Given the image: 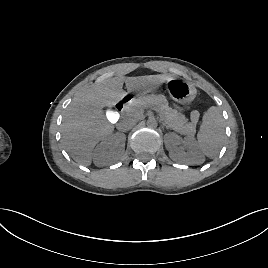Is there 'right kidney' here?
<instances>
[{
	"label": "right kidney",
	"instance_id": "ca27d5eb",
	"mask_svg": "<svg viewBox=\"0 0 268 268\" xmlns=\"http://www.w3.org/2000/svg\"><path fill=\"white\" fill-rule=\"evenodd\" d=\"M126 136L121 133L110 135L96 146L93 152L94 164L98 167L117 162L125 149Z\"/></svg>",
	"mask_w": 268,
	"mask_h": 268
}]
</instances>
